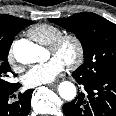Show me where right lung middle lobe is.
Wrapping results in <instances>:
<instances>
[{
    "instance_id": "1",
    "label": "right lung middle lobe",
    "mask_w": 116,
    "mask_h": 116,
    "mask_svg": "<svg viewBox=\"0 0 116 116\" xmlns=\"http://www.w3.org/2000/svg\"><path fill=\"white\" fill-rule=\"evenodd\" d=\"M31 24H33V21L28 20L27 23L19 28L16 33L11 35L0 34V92L8 90L14 85V83L8 82V77L10 73H12V71L7 61V55L9 53V49L13 42V39L20 30Z\"/></svg>"
}]
</instances>
